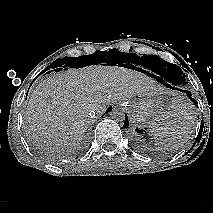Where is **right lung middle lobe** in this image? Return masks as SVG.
Listing matches in <instances>:
<instances>
[{
	"instance_id": "obj_1",
	"label": "right lung middle lobe",
	"mask_w": 213,
	"mask_h": 213,
	"mask_svg": "<svg viewBox=\"0 0 213 213\" xmlns=\"http://www.w3.org/2000/svg\"><path fill=\"white\" fill-rule=\"evenodd\" d=\"M126 55L127 53L119 52L117 49H110L109 51H96L92 55H84L75 58L65 57L63 59H58L54 61L47 69H56L65 66L79 68L90 65L92 61H107L108 63L112 61H117L118 63V59H121Z\"/></svg>"
}]
</instances>
